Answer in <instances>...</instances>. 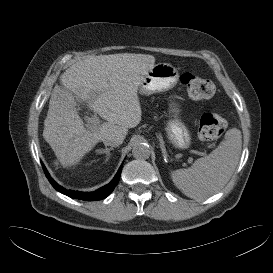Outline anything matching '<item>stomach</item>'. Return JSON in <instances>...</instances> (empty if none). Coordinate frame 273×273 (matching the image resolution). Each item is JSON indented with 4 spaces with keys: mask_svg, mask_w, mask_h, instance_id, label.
Wrapping results in <instances>:
<instances>
[{
    "mask_svg": "<svg viewBox=\"0 0 273 273\" xmlns=\"http://www.w3.org/2000/svg\"><path fill=\"white\" fill-rule=\"evenodd\" d=\"M179 73L176 67L169 63L155 64L148 71L139 86V92L143 95H151L158 92L168 91L177 84ZM171 119L166 126L169 141L178 148H188L191 142V134L186 125L179 118L178 104H172Z\"/></svg>",
    "mask_w": 273,
    "mask_h": 273,
    "instance_id": "obj_1",
    "label": "stomach"
}]
</instances>
